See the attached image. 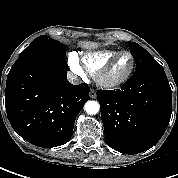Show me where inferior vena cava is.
<instances>
[{
    "label": "inferior vena cava",
    "instance_id": "1",
    "mask_svg": "<svg viewBox=\"0 0 178 178\" xmlns=\"http://www.w3.org/2000/svg\"><path fill=\"white\" fill-rule=\"evenodd\" d=\"M68 80L70 83L77 85L81 83V79L78 78L76 75H74L73 73H68Z\"/></svg>",
    "mask_w": 178,
    "mask_h": 178
}]
</instances>
